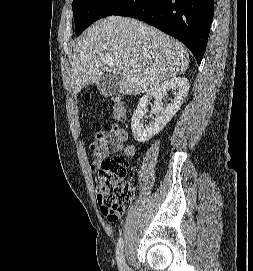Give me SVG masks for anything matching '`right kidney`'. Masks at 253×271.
Here are the masks:
<instances>
[{
	"instance_id": "ca27d5eb",
	"label": "right kidney",
	"mask_w": 253,
	"mask_h": 271,
	"mask_svg": "<svg viewBox=\"0 0 253 271\" xmlns=\"http://www.w3.org/2000/svg\"><path fill=\"white\" fill-rule=\"evenodd\" d=\"M189 81L185 77H173L151 88L140 99L137 109L131 119V129L136 141L144 143L158 134L178 112L189 92ZM169 90L174 91L171 103L162 102ZM154 98L153 112L155 117L149 125L143 126L142 118L147 111V105Z\"/></svg>"
}]
</instances>
